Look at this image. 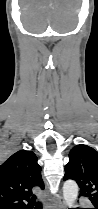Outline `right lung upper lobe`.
Instances as JSON below:
<instances>
[{"label":"right lung upper lobe","mask_w":98,"mask_h":209,"mask_svg":"<svg viewBox=\"0 0 98 209\" xmlns=\"http://www.w3.org/2000/svg\"><path fill=\"white\" fill-rule=\"evenodd\" d=\"M34 187L44 189L41 167L32 151L20 150L0 166V209H30Z\"/></svg>","instance_id":"obj_1"}]
</instances>
